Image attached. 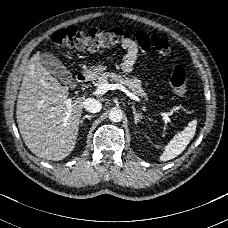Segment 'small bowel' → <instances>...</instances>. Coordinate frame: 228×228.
<instances>
[{"mask_svg": "<svg viewBox=\"0 0 228 228\" xmlns=\"http://www.w3.org/2000/svg\"><path fill=\"white\" fill-rule=\"evenodd\" d=\"M135 39L137 43L130 38L121 43L122 48L126 50V55L124 56L122 63V69L125 73H130L133 70L139 49L141 52L145 53L146 59L152 58V43L147 32L144 30L137 31Z\"/></svg>", "mask_w": 228, "mask_h": 228, "instance_id": "small-bowel-1", "label": "small bowel"}]
</instances>
